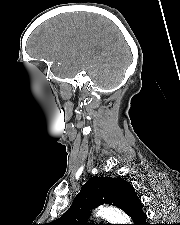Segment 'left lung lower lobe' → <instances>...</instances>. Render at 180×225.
Instances as JSON below:
<instances>
[{
  "label": "left lung lower lobe",
  "mask_w": 180,
  "mask_h": 225,
  "mask_svg": "<svg viewBox=\"0 0 180 225\" xmlns=\"http://www.w3.org/2000/svg\"><path fill=\"white\" fill-rule=\"evenodd\" d=\"M130 217L134 222L132 225H148L146 223V214L141 209L134 212Z\"/></svg>",
  "instance_id": "1"
}]
</instances>
